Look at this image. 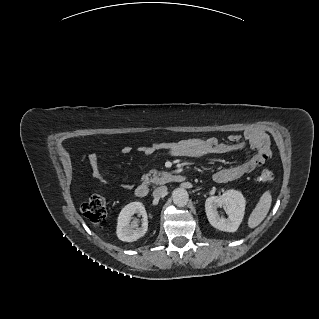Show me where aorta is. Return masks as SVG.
<instances>
[{"mask_svg": "<svg viewBox=\"0 0 319 319\" xmlns=\"http://www.w3.org/2000/svg\"><path fill=\"white\" fill-rule=\"evenodd\" d=\"M172 199L176 206L184 207L188 203L189 195L184 188H176L172 193Z\"/></svg>", "mask_w": 319, "mask_h": 319, "instance_id": "1", "label": "aorta"}]
</instances>
